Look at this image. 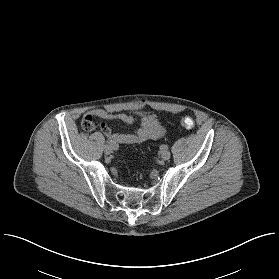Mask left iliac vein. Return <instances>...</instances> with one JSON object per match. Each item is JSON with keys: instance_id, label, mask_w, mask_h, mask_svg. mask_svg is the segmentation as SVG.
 <instances>
[{"instance_id": "1", "label": "left iliac vein", "mask_w": 279, "mask_h": 279, "mask_svg": "<svg viewBox=\"0 0 279 279\" xmlns=\"http://www.w3.org/2000/svg\"><path fill=\"white\" fill-rule=\"evenodd\" d=\"M171 157V152L169 150H164L161 153L162 160H168Z\"/></svg>"}]
</instances>
